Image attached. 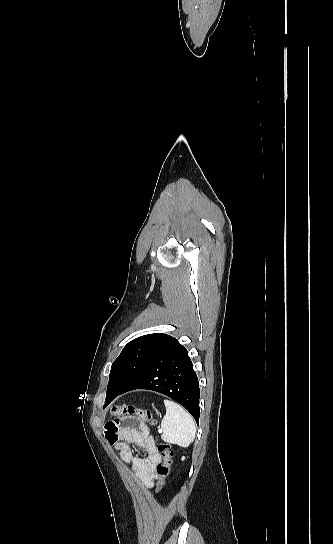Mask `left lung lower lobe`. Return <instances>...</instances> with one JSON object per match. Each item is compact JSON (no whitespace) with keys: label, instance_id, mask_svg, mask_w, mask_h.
<instances>
[{"label":"left lung lower lobe","instance_id":"left-lung-lower-lobe-1","mask_svg":"<svg viewBox=\"0 0 333 544\" xmlns=\"http://www.w3.org/2000/svg\"><path fill=\"white\" fill-rule=\"evenodd\" d=\"M135 389L162 393L184 406L199 423V383L188 352L172 338L119 391L106 394L105 408L115 397Z\"/></svg>","mask_w":333,"mask_h":544}]
</instances>
